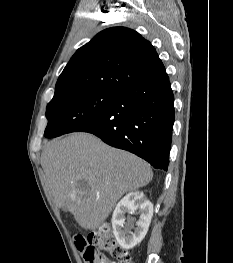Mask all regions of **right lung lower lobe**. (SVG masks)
Instances as JSON below:
<instances>
[{
    "label": "right lung lower lobe",
    "instance_id": "obj_1",
    "mask_svg": "<svg viewBox=\"0 0 233 263\" xmlns=\"http://www.w3.org/2000/svg\"><path fill=\"white\" fill-rule=\"evenodd\" d=\"M174 96L166 72L118 91L108 107L76 131L130 151L167 171L174 124Z\"/></svg>",
    "mask_w": 233,
    "mask_h": 263
}]
</instances>
